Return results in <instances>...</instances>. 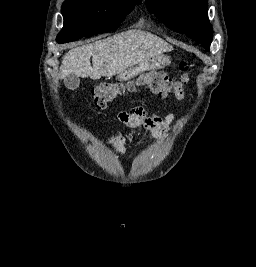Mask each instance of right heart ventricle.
Segmentation results:
<instances>
[{
    "instance_id": "1",
    "label": "right heart ventricle",
    "mask_w": 256,
    "mask_h": 267,
    "mask_svg": "<svg viewBox=\"0 0 256 267\" xmlns=\"http://www.w3.org/2000/svg\"><path fill=\"white\" fill-rule=\"evenodd\" d=\"M146 27V26H145ZM145 27H131V28H145Z\"/></svg>"
}]
</instances>
